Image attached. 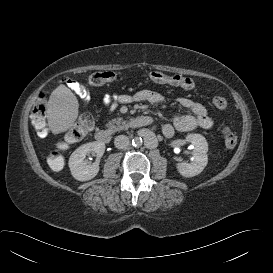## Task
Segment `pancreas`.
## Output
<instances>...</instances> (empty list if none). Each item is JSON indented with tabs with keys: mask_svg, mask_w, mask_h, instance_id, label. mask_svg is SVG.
I'll use <instances>...</instances> for the list:
<instances>
[{
	"mask_svg": "<svg viewBox=\"0 0 273 273\" xmlns=\"http://www.w3.org/2000/svg\"><path fill=\"white\" fill-rule=\"evenodd\" d=\"M125 120H123V118L121 117H118V118H115V119H112L110 120L107 124H106V127L108 128V130L111 132V133H114L116 131H118L121 126L123 124H125Z\"/></svg>",
	"mask_w": 273,
	"mask_h": 273,
	"instance_id": "pancreas-1",
	"label": "pancreas"
}]
</instances>
